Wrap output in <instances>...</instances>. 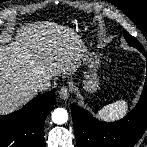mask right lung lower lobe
Returning <instances> with one entry per match:
<instances>
[{
  "label": "right lung lower lobe",
  "instance_id": "1",
  "mask_svg": "<svg viewBox=\"0 0 147 147\" xmlns=\"http://www.w3.org/2000/svg\"><path fill=\"white\" fill-rule=\"evenodd\" d=\"M54 93L40 94L20 110L0 116V147H43L44 122L54 106Z\"/></svg>",
  "mask_w": 147,
  "mask_h": 147
}]
</instances>
